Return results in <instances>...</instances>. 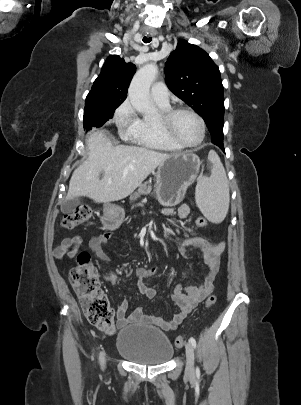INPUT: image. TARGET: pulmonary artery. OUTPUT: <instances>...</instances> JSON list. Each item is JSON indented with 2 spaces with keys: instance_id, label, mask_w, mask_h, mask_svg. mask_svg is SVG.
<instances>
[{
  "instance_id": "pulmonary-artery-1",
  "label": "pulmonary artery",
  "mask_w": 301,
  "mask_h": 405,
  "mask_svg": "<svg viewBox=\"0 0 301 405\" xmlns=\"http://www.w3.org/2000/svg\"><path fill=\"white\" fill-rule=\"evenodd\" d=\"M152 100L160 105L167 107L169 104V91L163 82L155 83L151 88Z\"/></svg>"
}]
</instances>
